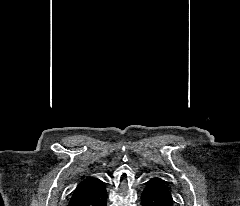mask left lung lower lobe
Masks as SVG:
<instances>
[{
  "label": "left lung lower lobe",
  "instance_id": "1",
  "mask_svg": "<svg viewBox=\"0 0 240 206\" xmlns=\"http://www.w3.org/2000/svg\"><path fill=\"white\" fill-rule=\"evenodd\" d=\"M142 206H174L168 183L160 177L151 178L141 195Z\"/></svg>",
  "mask_w": 240,
  "mask_h": 206
}]
</instances>
